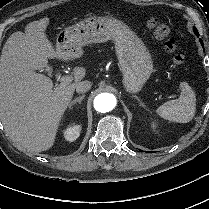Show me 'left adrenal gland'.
<instances>
[{"label":"left adrenal gland","mask_w":209,"mask_h":209,"mask_svg":"<svg viewBox=\"0 0 209 209\" xmlns=\"http://www.w3.org/2000/svg\"><path fill=\"white\" fill-rule=\"evenodd\" d=\"M135 97L138 100V102L140 103V105L145 106L137 96H135Z\"/></svg>","instance_id":"1"}]
</instances>
